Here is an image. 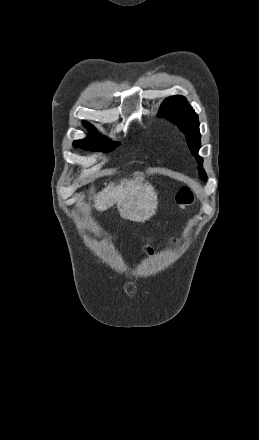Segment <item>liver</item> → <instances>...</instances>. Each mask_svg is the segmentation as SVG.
Segmentation results:
<instances>
[{
  "instance_id": "1",
  "label": "liver",
  "mask_w": 259,
  "mask_h": 440,
  "mask_svg": "<svg viewBox=\"0 0 259 440\" xmlns=\"http://www.w3.org/2000/svg\"><path fill=\"white\" fill-rule=\"evenodd\" d=\"M95 208L105 211L117 204L120 216L134 222L149 220L157 209V192L141 178L123 179L119 184L109 183L94 197Z\"/></svg>"
}]
</instances>
